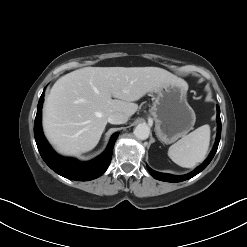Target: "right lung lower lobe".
<instances>
[{
    "mask_svg": "<svg viewBox=\"0 0 247 247\" xmlns=\"http://www.w3.org/2000/svg\"><path fill=\"white\" fill-rule=\"evenodd\" d=\"M43 100L44 94L42 93L34 123V136L40 155L45 163L59 175L71 180L88 181L101 176L110 164L114 143L118 134L116 133L111 137L107 149L99 157L86 163L85 167H82L76 159L64 158L56 154L46 141L41 128Z\"/></svg>",
    "mask_w": 247,
    "mask_h": 247,
    "instance_id": "98d812e1",
    "label": "right lung lower lobe"
}]
</instances>
